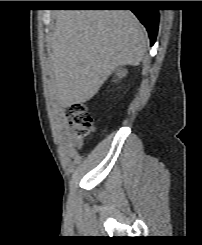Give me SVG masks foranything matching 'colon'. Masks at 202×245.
Wrapping results in <instances>:
<instances>
[{"instance_id":"5ec220e1","label":"colon","mask_w":202,"mask_h":245,"mask_svg":"<svg viewBox=\"0 0 202 245\" xmlns=\"http://www.w3.org/2000/svg\"><path fill=\"white\" fill-rule=\"evenodd\" d=\"M72 135L81 145L93 127V118L86 106L80 103L71 105L66 112Z\"/></svg>"}]
</instances>
